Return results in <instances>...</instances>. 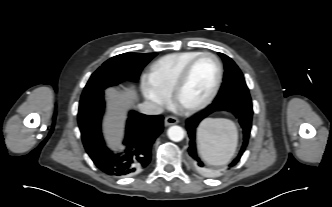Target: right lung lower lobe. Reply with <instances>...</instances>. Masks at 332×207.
Segmentation results:
<instances>
[{
	"label": "right lung lower lobe",
	"instance_id": "right-lung-lower-lobe-1",
	"mask_svg": "<svg viewBox=\"0 0 332 207\" xmlns=\"http://www.w3.org/2000/svg\"><path fill=\"white\" fill-rule=\"evenodd\" d=\"M104 108L103 91L80 101L78 124L85 150L94 164L107 175H133L150 163L152 144L163 131V117L131 111L123 142L126 149L114 154L106 147L101 132Z\"/></svg>",
	"mask_w": 332,
	"mask_h": 207
}]
</instances>
